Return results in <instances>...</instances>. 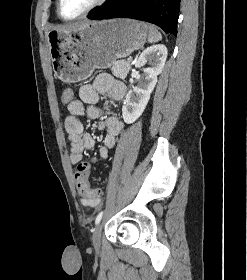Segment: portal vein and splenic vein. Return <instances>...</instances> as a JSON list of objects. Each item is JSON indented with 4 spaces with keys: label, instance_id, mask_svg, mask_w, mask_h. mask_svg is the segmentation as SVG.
I'll return each mask as SVG.
<instances>
[{
    "label": "portal vein and splenic vein",
    "instance_id": "1",
    "mask_svg": "<svg viewBox=\"0 0 247 280\" xmlns=\"http://www.w3.org/2000/svg\"><path fill=\"white\" fill-rule=\"evenodd\" d=\"M128 61H131V59H130V58H128Z\"/></svg>",
    "mask_w": 247,
    "mask_h": 280
}]
</instances>
